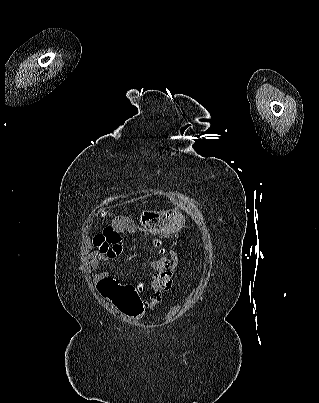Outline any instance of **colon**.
<instances>
[{
  "instance_id": "colon-1",
  "label": "colon",
  "mask_w": 319,
  "mask_h": 403,
  "mask_svg": "<svg viewBox=\"0 0 319 403\" xmlns=\"http://www.w3.org/2000/svg\"><path fill=\"white\" fill-rule=\"evenodd\" d=\"M95 236V235H94ZM93 236V237H94ZM156 240H159V237H156ZM152 260H153V271L150 274V281L147 283V290L149 291V287L154 283L152 281V276L155 273H162L163 270L165 269V264H166V259H165V253L164 252H153L152 253ZM175 286V279L171 277V282L167 287H162L161 291H168L169 287H174ZM160 293V292H159ZM159 297H163V294H159Z\"/></svg>"
}]
</instances>
